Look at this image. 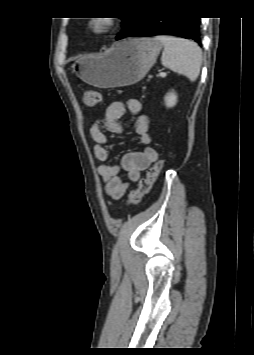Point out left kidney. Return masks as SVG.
I'll return each mask as SVG.
<instances>
[{
	"label": "left kidney",
	"mask_w": 254,
	"mask_h": 355,
	"mask_svg": "<svg viewBox=\"0 0 254 355\" xmlns=\"http://www.w3.org/2000/svg\"><path fill=\"white\" fill-rule=\"evenodd\" d=\"M177 102V95L174 91H171L165 96V104L167 107H173Z\"/></svg>",
	"instance_id": "5707ae66"
}]
</instances>
